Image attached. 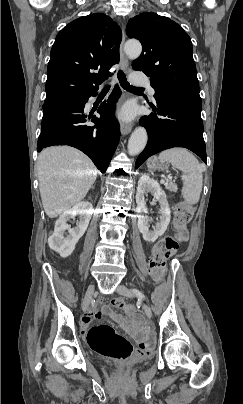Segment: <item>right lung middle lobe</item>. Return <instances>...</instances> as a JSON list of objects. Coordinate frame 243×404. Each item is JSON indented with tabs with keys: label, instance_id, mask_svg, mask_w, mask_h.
<instances>
[{
	"label": "right lung middle lobe",
	"instance_id": "1",
	"mask_svg": "<svg viewBox=\"0 0 243 404\" xmlns=\"http://www.w3.org/2000/svg\"><path fill=\"white\" fill-rule=\"evenodd\" d=\"M63 101H66V100H63ZM59 102H62V101H59ZM59 102H56V103H59ZM56 103L48 104V105H43V109H45V108H47V107H49V106H51V105H54V104H56Z\"/></svg>",
	"mask_w": 243,
	"mask_h": 404
}]
</instances>
